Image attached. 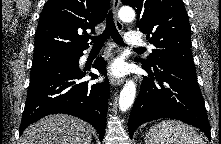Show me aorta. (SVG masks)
<instances>
[{"mask_svg": "<svg viewBox=\"0 0 221 144\" xmlns=\"http://www.w3.org/2000/svg\"><path fill=\"white\" fill-rule=\"evenodd\" d=\"M119 17L123 22H130L135 18V12L131 7H122L119 10ZM136 85L134 81L129 80L123 86L119 97V108L122 112L128 110L135 99Z\"/></svg>", "mask_w": 221, "mask_h": 144, "instance_id": "aorta-1", "label": "aorta"}]
</instances>
